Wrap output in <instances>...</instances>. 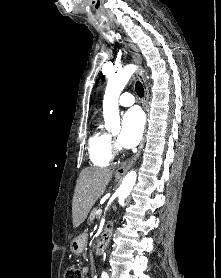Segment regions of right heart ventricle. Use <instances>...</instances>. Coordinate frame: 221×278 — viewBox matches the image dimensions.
<instances>
[{
  "instance_id": "e07e8e85",
  "label": "right heart ventricle",
  "mask_w": 221,
  "mask_h": 278,
  "mask_svg": "<svg viewBox=\"0 0 221 278\" xmlns=\"http://www.w3.org/2000/svg\"><path fill=\"white\" fill-rule=\"evenodd\" d=\"M88 150L90 160L94 165L108 166L113 157L109 134L101 128H96L89 138Z\"/></svg>"
}]
</instances>
